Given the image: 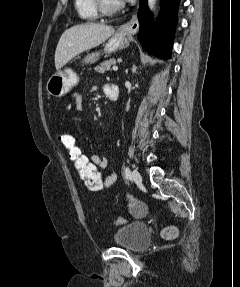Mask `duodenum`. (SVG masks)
<instances>
[{
  "mask_svg": "<svg viewBox=\"0 0 240 287\" xmlns=\"http://www.w3.org/2000/svg\"><path fill=\"white\" fill-rule=\"evenodd\" d=\"M107 97L112 100L116 101L119 97V87L117 84H109V90L107 92Z\"/></svg>",
  "mask_w": 240,
  "mask_h": 287,
  "instance_id": "410a0bca",
  "label": "duodenum"
}]
</instances>
